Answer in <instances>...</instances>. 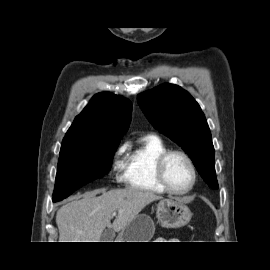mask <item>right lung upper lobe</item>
<instances>
[{"label": "right lung upper lobe", "mask_w": 270, "mask_h": 270, "mask_svg": "<svg viewBox=\"0 0 270 270\" xmlns=\"http://www.w3.org/2000/svg\"><path fill=\"white\" fill-rule=\"evenodd\" d=\"M132 104L112 93L96 94L75 118L63 141L120 142L131 121Z\"/></svg>", "instance_id": "1"}]
</instances>
